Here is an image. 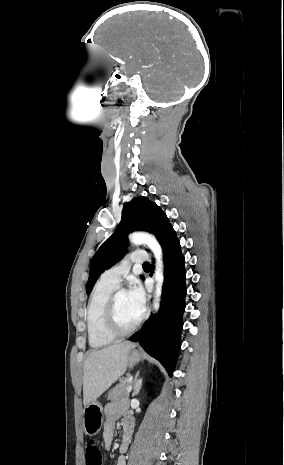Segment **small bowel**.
<instances>
[{
    "mask_svg": "<svg viewBox=\"0 0 284 465\" xmlns=\"http://www.w3.org/2000/svg\"><path fill=\"white\" fill-rule=\"evenodd\" d=\"M105 423L103 430V442L105 448H110L114 439L115 427L118 420L122 423V439L119 447V458L117 465H126V455L131 443L133 422L127 413L124 402L109 403L105 408Z\"/></svg>",
    "mask_w": 284,
    "mask_h": 465,
    "instance_id": "1",
    "label": "small bowel"
}]
</instances>
